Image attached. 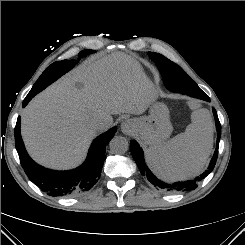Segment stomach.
Segmentation results:
<instances>
[{
	"label": "stomach",
	"mask_w": 245,
	"mask_h": 245,
	"mask_svg": "<svg viewBox=\"0 0 245 245\" xmlns=\"http://www.w3.org/2000/svg\"><path fill=\"white\" fill-rule=\"evenodd\" d=\"M135 132L146 145H159L172 133L169 110L163 103L152 105L150 115L134 120Z\"/></svg>",
	"instance_id": "1"
}]
</instances>
